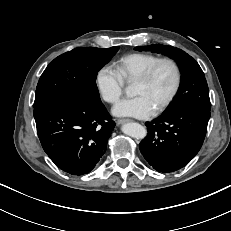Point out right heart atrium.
<instances>
[{
  "mask_svg": "<svg viewBox=\"0 0 231 231\" xmlns=\"http://www.w3.org/2000/svg\"><path fill=\"white\" fill-rule=\"evenodd\" d=\"M95 82L103 100L111 104L118 101L125 84L117 70L109 65H104L97 71Z\"/></svg>",
  "mask_w": 231,
  "mask_h": 231,
  "instance_id": "1",
  "label": "right heart atrium"
}]
</instances>
